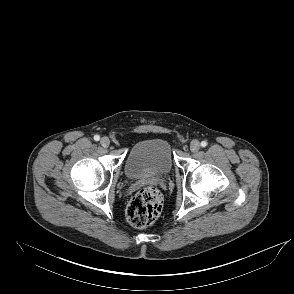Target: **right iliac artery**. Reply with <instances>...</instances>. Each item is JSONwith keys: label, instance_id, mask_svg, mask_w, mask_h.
Returning a JSON list of instances; mask_svg holds the SVG:
<instances>
[{"label": "right iliac artery", "instance_id": "1", "mask_svg": "<svg viewBox=\"0 0 294 294\" xmlns=\"http://www.w3.org/2000/svg\"><path fill=\"white\" fill-rule=\"evenodd\" d=\"M94 140H95V141H99V140H100V136H99V135H95V136H94Z\"/></svg>", "mask_w": 294, "mask_h": 294}]
</instances>
